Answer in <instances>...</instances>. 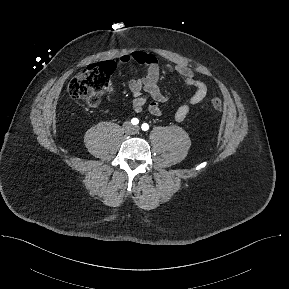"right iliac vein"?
I'll return each mask as SVG.
<instances>
[{
    "instance_id": "obj_1",
    "label": "right iliac vein",
    "mask_w": 289,
    "mask_h": 289,
    "mask_svg": "<svg viewBox=\"0 0 289 289\" xmlns=\"http://www.w3.org/2000/svg\"><path fill=\"white\" fill-rule=\"evenodd\" d=\"M124 129H125L126 131H130V130L132 129L131 124H130L129 122L125 123V124H124Z\"/></svg>"
}]
</instances>
